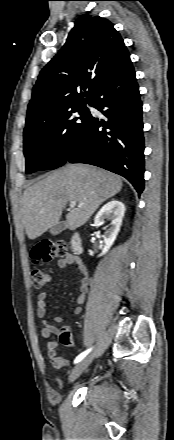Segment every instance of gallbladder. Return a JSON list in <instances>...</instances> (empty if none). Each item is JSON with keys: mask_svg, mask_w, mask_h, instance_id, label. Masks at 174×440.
<instances>
[{"mask_svg": "<svg viewBox=\"0 0 174 440\" xmlns=\"http://www.w3.org/2000/svg\"><path fill=\"white\" fill-rule=\"evenodd\" d=\"M66 229V224L65 221H60L57 224H55L51 229H50V233L52 235H57L59 233H61L63 230Z\"/></svg>", "mask_w": 174, "mask_h": 440, "instance_id": "bac80fb5", "label": "gallbladder"}]
</instances>
